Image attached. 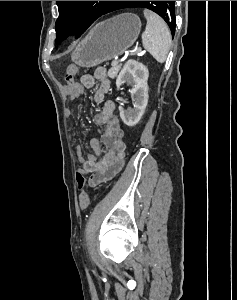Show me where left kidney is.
<instances>
[{"label": "left kidney", "mask_w": 237, "mask_h": 300, "mask_svg": "<svg viewBox=\"0 0 237 300\" xmlns=\"http://www.w3.org/2000/svg\"><path fill=\"white\" fill-rule=\"evenodd\" d=\"M149 71L143 63L133 61L129 59L125 63L122 71H120L116 79V87L119 91L122 83H129L132 89L129 93H132L134 97V109H127L124 111L123 107H119L120 117L128 127H134L139 123L148 103V81ZM124 95V93H121Z\"/></svg>", "instance_id": "obj_1"}]
</instances>
